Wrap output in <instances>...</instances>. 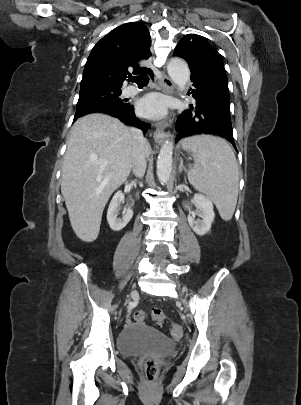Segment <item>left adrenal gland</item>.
I'll list each match as a JSON object with an SVG mask.
<instances>
[{
  "mask_svg": "<svg viewBox=\"0 0 301 405\" xmlns=\"http://www.w3.org/2000/svg\"><path fill=\"white\" fill-rule=\"evenodd\" d=\"M183 170L186 172V168L183 165V160L180 158L179 173H181Z\"/></svg>",
  "mask_w": 301,
  "mask_h": 405,
  "instance_id": "1",
  "label": "left adrenal gland"
}]
</instances>
